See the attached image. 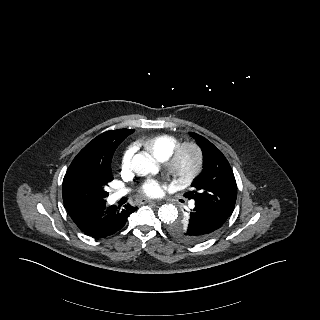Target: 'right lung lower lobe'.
Here are the masks:
<instances>
[{
  "instance_id": "obj_1",
  "label": "right lung lower lobe",
  "mask_w": 320,
  "mask_h": 320,
  "mask_svg": "<svg viewBox=\"0 0 320 320\" xmlns=\"http://www.w3.org/2000/svg\"><path fill=\"white\" fill-rule=\"evenodd\" d=\"M69 216L77 227L93 238H103L121 230L131 213L138 208L130 204L123 208L107 206L106 201L96 204L66 206Z\"/></svg>"
}]
</instances>
